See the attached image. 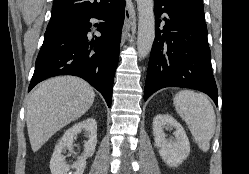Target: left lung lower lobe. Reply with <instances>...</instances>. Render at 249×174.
Wrapping results in <instances>:
<instances>
[{
  "mask_svg": "<svg viewBox=\"0 0 249 174\" xmlns=\"http://www.w3.org/2000/svg\"><path fill=\"white\" fill-rule=\"evenodd\" d=\"M154 14L156 35L144 100L164 87H185L208 94L218 105L206 23L183 13L168 0H154ZM162 21L165 25L160 30Z\"/></svg>",
  "mask_w": 249,
  "mask_h": 174,
  "instance_id": "0a47b994",
  "label": "left lung lower lobe"
}]
</instances>
